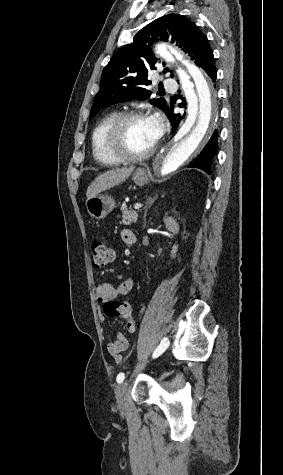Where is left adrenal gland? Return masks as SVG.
Here are the masks:
<instances>
[{
  "mask_svg": "<svg viewBox=\"0 0 283 475\" xmlns=\"http://www.w3.org/2000/svg\"><path fill=\"white\" fill-rule=\"evenodd\" d=\"M155 200H157V196H155V198H149L148 202H146L148 208H151V206H152V204H154ZM148 208L144 212L143 230H144V228H146V216H147Z\"/></svg>",
  "mask_w": 283,
  "mask_h": 475,
  "instance_id": "a2214340",
  "label": "left adrenal gland"
}]
</instances>
